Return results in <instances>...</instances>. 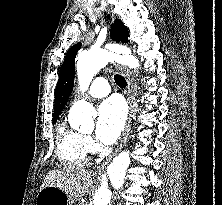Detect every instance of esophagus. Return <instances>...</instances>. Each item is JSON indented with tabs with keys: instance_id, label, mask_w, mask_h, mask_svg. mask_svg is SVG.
Returning <instances> with one entry per match:
<instances>
[{
	"instance_id": "obj_1",
	"label": "esophagus",
	"mask_w": 222,
	"mask_h": 205,
	"mask_svg": "<svg viewBox=\"0 0 222 205\" xmlns=\"http://www.w3.org/2000/svg\"><path fill=\"white\" fill-rule=\"evenodd\" d=\"M116 67L123 74V76L125 77V79L127 81L126 97H127V102L129 104V113H128V117H127L126 126H125V129L123 131V136H122L121 142H120L118 148L116 149L115 153H117L122 148V146L125 144V142L127 140V137H128V134H129V131H130V128H131L133 111H134V90H133V81L131 79L130 73L124 66L117 65ZM114 154L111 155L108 159H106V161L103 162L98 167L99 171L103 170L106 167V165L110 162V160L112 159Z\"/></svg>"
}]
</instances>
